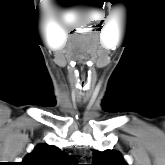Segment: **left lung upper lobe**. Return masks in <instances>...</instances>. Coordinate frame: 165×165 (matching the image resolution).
Returning a JSON list of instances; mask_svg holds the SVG:
<instances>
[{"instance_id":"1","label":"left lung upper lobe","mask_w":165,"mask_h":165,"mask_svg":"<svg viewBox=\"0 0 165 165\" xmlns=\"http://www.w3.org/2000/svg\"><path fill=\"white\" fill-rule=\"evenodd\" d=\"M92 165H128L124 158L114 150H105L103 152L93 150Z\"/></svg>"}]
</instances>
